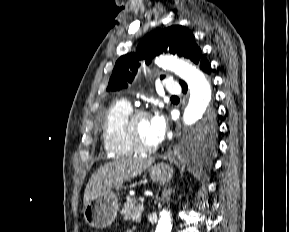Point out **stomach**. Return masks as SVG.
I'll use <instances>...</instances> for the list:
<instances>
[{
  "label": "stomach",
  "mask_w": 289,
  "mask_h": 232,
  "mask_svg": "<svg viewBox=\"0 0 289 232\" xmlns=\"http://www.w3.org/2000/svg\"><path fill=\"white\" fill-rule=\"evenodd\" d=\"M148 172L153 182L165 183L173 177V168L164 163L151 166ZM118 208L117 194L110 191L95 197L84 206V220L91 227L106 228L115 220Z\"/></svg>",
  "instance_id": "1"
}]
</instances>
